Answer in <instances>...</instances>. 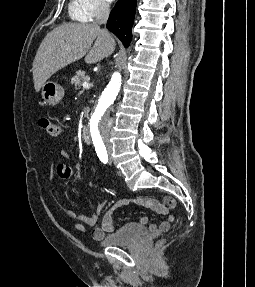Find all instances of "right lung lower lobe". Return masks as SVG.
<instances>
[{
	"label": "right lung lower lobe",
	"instance_id": "98d812e1",
	"mask_svg": "<svg viewBox=\"0 0 255 287\" xmlns=\"http://www.w3.org/2000/svg\"><path fill=\"white\" fill-rule=\"evenodd\" d=\"M137 0H118L107 21V29L128 47L132 40V26Z\"/></svg>",
	"mask_w": 255,
	"mask_h": 287
}]
</instances>
